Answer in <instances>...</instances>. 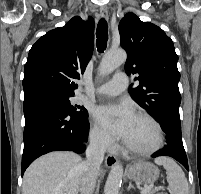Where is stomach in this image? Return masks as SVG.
Returning <instances> with one entry per match:
<instances>
[{"instance_id":"stomach-1","label":"stomach","mask_w":201,"mask_h":194,"mask_svg":"<svg viewBox=\"0 0 201 194\" xmlns=\"http://www.w3.org/2000/svg\"><path fill=\"white\" fill-rule=\"evenodd\" d=\"M126 175L138 183L151 184L158 179L159 169L151 163L138 161L127 167Z\"/></svg>"}]
</instances>
